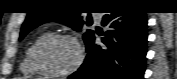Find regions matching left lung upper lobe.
I'll return each mask as SVG.
<instances>
[{
    "instance_id": "5c2ea615",
    "label": "left lung upper lobe",
    "mask_w": 177,
    "mask_h": 79,
    "mask_svg": "<svg viewBox=\"0 0 177 79\" xmlns=\"http://www.w3.org/2000/svg\"><path fill=\"white\" fill-rule=\"evenodd\" d=\"M36 7L30 11L27 15L25 22L21 28L20 38L22 40L25 35L32 29L36 28L42 23L49 21H58L71 26L73 29L79 31L83 25L82 17L80 16L79 9H74L71 11H52L48 9L50 5L58 4L55 0H42L37 1ZM84 2V1H75ZM93 31L88 30L83 38L86 43V47L89 44L91 38L93 37Z\"/></svg>"
}]
</instances>
